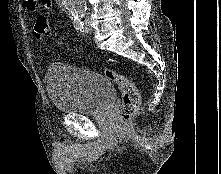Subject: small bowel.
<instances>
[{"label": "small bowel", "instance_id": "c3829d8e", "mask_svg": "<svg viewBox=\"0 0 221 174\" xmlns=\"http://www.w3.org/2000/svg\"><path fill=\"white\" fill-rule=\"evenodd\" d=\"M39 5H41L45 10L52 9L51 0H25V6L29 12L36 11Z\"/></svg>", "mask_w": 221, "mask_h": 174}]
</instances>
